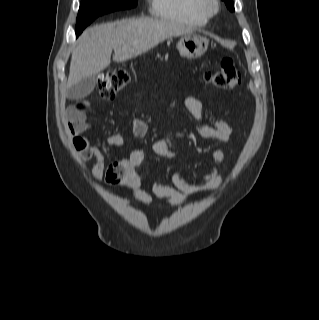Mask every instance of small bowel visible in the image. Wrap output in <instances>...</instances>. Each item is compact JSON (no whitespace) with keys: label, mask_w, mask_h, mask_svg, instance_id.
<instances>
[{"label":"small bowel","mask_w":319,"mask_h":320,"mask_svg":"<svg viewBox=\"0 0 319 320\" xmlns=\"http://www.w3.org/2000/svg\"><path fill=\"white\" fill-rule=\"evenodd\" d=\"M181 107L186 108L199 121L194 131L200 137L215 139L224 143L231 140L232 127L226 122L207 119L205 107L200 99L193 96L177 97L168 104L166 110L176 113ZM66 127L71 145L80 160L85 162L89 159H94L95 162L91 171L92 178L96 181L105 178L107 183L125 188L145 206L151 205L154 197H160L165 198L167 205L177 207L188 197L217 188L223 183V176L217 165L223 164L226 157L225 153L219 149L213 150L210 154L212 166L209 172L198 179H187L175 172L171 177V186L151 180L149 182L150 189L145 190L142 188V178L136 173V168L144 161L145 154L142 151H135L129 157L117 161L121 164V167L113 172V176L118 177V180L112 181L108 177L111 165H108L106 154L100 147L92 145L85 135V132L89 129L85 104H79L69 112ZM147 129L148 127L144 120L134 118L132 132L136 137L143 136ZM125 145L126 140L120 134H112L106 141L109 151ZM153 149L161 158L172 160L176 157L173 141L168 137L158 138L153 144Z\"/></svg>","instance_id":"obj_1"}]
</instances>
